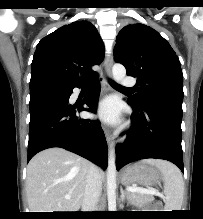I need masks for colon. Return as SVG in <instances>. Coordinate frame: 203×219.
<instances>
[{
  "instance_id": "obj_1",
  "label": "colon",
  "mask_w": 203,
  "mask_h": 219,
  "mask_svg": "<svg viewBox=\"0 0 203 219\" xmlns=\"http://www.w3.org/2000/svg\"><path fill=\"white\" fill-rule=\"evenodd\" d=\"M162 209V203L161 202H155L153 204V210L159 212Z\"/></svg>"
}]
</instances>
